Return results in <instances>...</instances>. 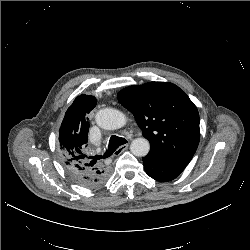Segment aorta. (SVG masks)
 Instances as JSON below:
<instances>
[{
    "label": "aorta",
    "instance_id": "obj_1",
    "mask_svg": "<svg viewBox=\"0 0 250 250\" xmlns=\"http://www.w3.org/2000/svg\"><path fill=\"white\" fill-rule=\"evenodd\" d=\"M96 123L103 129L115 130L126 124V117L119 110L104 108L97 112ZM130 150L135 156L144 157L150 150L149 141L145 138H136L131 142Z\"/></svg>",
    "mask_w": 250,
    "mask_h": 250
}]
</instances>
